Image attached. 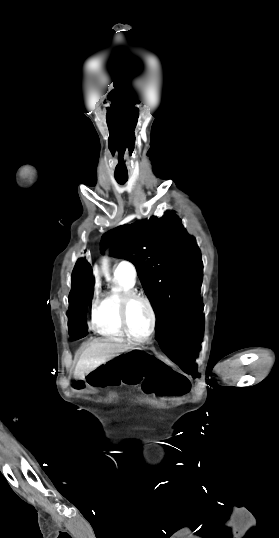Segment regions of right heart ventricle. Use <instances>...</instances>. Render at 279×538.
<instances>
[{
	"label": "right heart ventricle",
	"mask_w": 279,
	"mask_h": 538,
	"mask_svg": "<svg viewBox=\"0 0 279 538\" xmlns=\"http://www.w3.org/2000/svg\"><path fill=\"white\" fill-rule=\"evenodd\" d=\"M115 285L92 304L91 327L107 337H125L118 318V308L122 297L133 290L134 283L122 276L115 275Z\"/></svg>",
	"instance_id": "obj_1"
}]
</instances>
